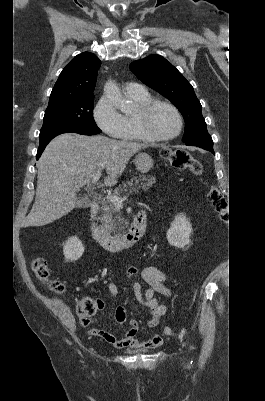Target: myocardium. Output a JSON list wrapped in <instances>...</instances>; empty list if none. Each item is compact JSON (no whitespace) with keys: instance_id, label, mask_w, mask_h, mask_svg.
Wrapping results in <instances>:
<instances>
[{"instance_id":"1","label":"myocardium","mask_w":265,"mask_h":401,"mask_svg":"<svg viewBox=\"0 0 265 401\" xmlns=\"http://www.w3.org/2000/svg\"><path fill=\"white\" fill-rule=\"evenodd\" d=\"M158 106H164L170 109L177 117L178 119V131L169 137H163V138H156L150 135L147 129V118L148 116L152 113V111L158 107ZM137 125L139 128V131L145 141L148 142H167L176 139L179 137L183 131L184 127V121H183V116L180 113V111L177 109L176 106L173 104L167 102V101H162V100H152L148 104L142 106L139 108L138 113H137Z\"/></svg>"}]
</instances>
